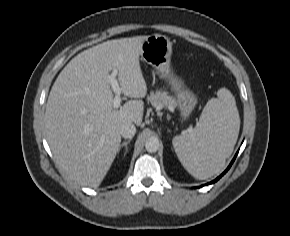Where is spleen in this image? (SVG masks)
Segmentation results:
<instances>
[{"instance_id": "spleen-1", "label": "spleen", "mask_w": 290, "mask_h": 236, "mask_svg": "<svg viewBox=\"0 0 290 236\" xmlns=\"http://www.w3.org/2000/svg\"><path fill=\"white\" fill-rule=\"evenodd\" d=\"M204 107L195 128L173 138L175 152L196 179H208L225 166L236 144L240 118L234 96L225 88Z\"/></svg>"}]
</instances>
